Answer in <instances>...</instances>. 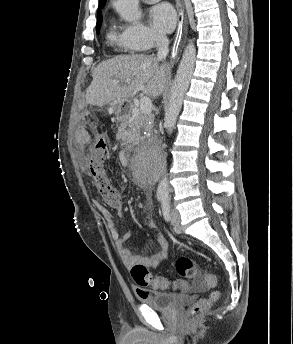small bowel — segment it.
<instances>
[{
  "instance_id": "small-bowel-1",
  "label": "small bowel",
  "mask_w": 293,
  "mask_h": 344,
  "mask_svg": "<svg viewBox=\"0 0 293 344\" xmlns=\"http://www.w3.org/2000/svg\"><path fill=\"white\" fill-rule=\"evenodd\" d=\"M98 137H95L91 132L83 128H77L74 133L75 145L79 152H84V150L91 144V142ZM122 159H126L123 154ZM98 211L106 220V228L109 233L110 238L113 240L115 248L127 268H132L136 265H143L147 267H156L162 260L165 259L168 251V242L161 235L156 233L155 241L156 248L148 255L140 256L135 254L131 248L127 245L129 239V234H121L117 228V225L112 217V214L108 209H106L101 203H95ZM117 213L119 216L123 214L122 205L117 207ZM149 228L155 230L156 224L150 221L148 224ZM137 294L141 297L146 291L142 288L136 289Z\"/></svg>"
}]
</instances>
